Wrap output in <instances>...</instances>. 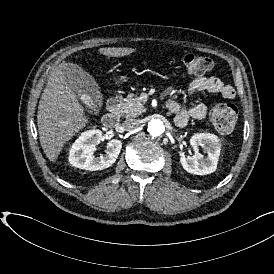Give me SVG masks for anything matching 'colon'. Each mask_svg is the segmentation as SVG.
Segmentation results:
<instances>
[{
  "mask_svg": "<svg viewBox=\"0 0 274 274\" xmlns=\"http://www.w3.org/2000/svg\"><path fill=\"white\" fill-rule=\"evenodd\" d=\"M180 63L192 74L209 73L214 68L213 60L205 55L189 53L184 55ZM213 127L221 133L231 132L237 123V109L230 103L217 105L210 115Z\"/></svg>",
  "mask_w": 274,
  "mask_h": 274,
  "instance_id": "5ec220e1",
  "label": "colon"
}]
</instances>
